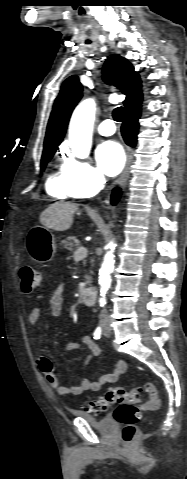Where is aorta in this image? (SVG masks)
Masks as SVG:
<instances>
[{
  "label": "aorta",
  "instance_id": "1",
  "mask_svg": "<svg viewBox=\"0 0 187 479\" xmlns=\"http://www.w3.org/2000/svg\"><path fill=\"white\" fill-rule=\"evenodd\" d=\"M96 104L93 99L81 102L73 112L69 126V145L73 154L81 159L87 158L92 144V130L95 119ZM116 244L111 241L107 248L109 251L104 256L99 270L100 296L99 303H106V294L111 286V272L114 267V250Z\"/></svg>",
  "mask_w": 187,
  "mask_h": 479
}]
</instances>
